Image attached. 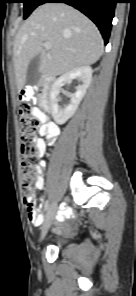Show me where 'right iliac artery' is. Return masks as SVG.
Here are the masks:
<instances>
[{
    "instance_id": "right-iliac-artery-1",
    "label": "right iliac artery",
    "mask_w": 136,
    "mask_h": 296,
    "mask_svg": "<svg viewBox=\"0 0 136 296\" xmlns=\"http://www.w3.org/2000/svg\"><path fill=\"white\" fill-rule=\"evenodd\" d=\"M50 203H51V200L50 199H47L46 208L44 209V212L45 213L50 209Z\"/></svg>"
}]
</instances>
